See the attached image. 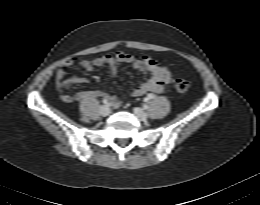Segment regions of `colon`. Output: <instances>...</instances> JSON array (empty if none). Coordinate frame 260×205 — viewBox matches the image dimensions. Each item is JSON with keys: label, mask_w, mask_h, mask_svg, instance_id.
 <instances>
[{"label": "colon", "mask_w": 260, "mask_h": 205, "mask_svg": "<svg viewBox=\"0 0 260 205\" xmlns=\"http://www.w3.org/2000/svg\"><path fill=\"white\" fill-rule=\"evenodd\" d=\"M175 88L180 92H185L189 89V82L184 79H176L174 81Z\"/></svg>", "instance_id": "colon-1"}]
</instances>
